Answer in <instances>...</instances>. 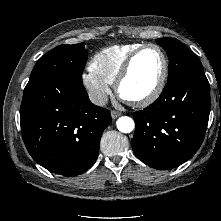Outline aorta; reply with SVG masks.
Instances as JSON below:
<instances>
[{
    "label": "aorta",
    "mask_w": 221,
    "mask_h": 221,
    "mask_svg": "<svg viewBox=\"0 0 221 221\" xmlns=\"http://www.w3.org/2000/svg\"><path fill=\"white\" fill-rule=\"evenodd\" d=\"M117 129L122 133H130L135 128L134 120L128 116L120 117L117 122Z\"/></svg>",
    "instance_id": "762f6f07"
}]
</instances>
